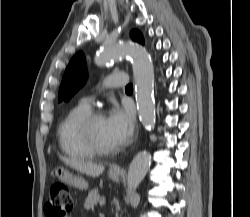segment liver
I'll list each match as a JSON object with an SVG mask.
<instances>
[{"instance_id":"liver-1","label":"liver","mask_w":250,"mask_h":217,"mask_svg":"<svg viewBox=\"0 0 250 217\" xmlns=\"http://www.w3.org/2000/svg\"><path fill=\"white\" fill-rule=\"evenodd\" d=\"M60 159L68 166L91 177H98L104 172V166L94 164L90 161L60 156Z\"/></svg>"}]
</instances>
